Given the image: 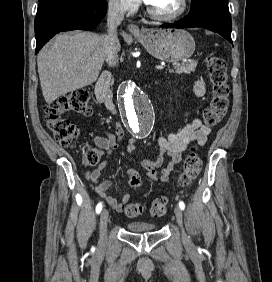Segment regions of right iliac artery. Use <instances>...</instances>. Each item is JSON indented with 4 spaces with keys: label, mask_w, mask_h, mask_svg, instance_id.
I'll use <instances>...</instances> for the list:
<instances>
[{
    "label": "right iliac artery",
    "mask_w": 272,
    "mask_h": 282,
    "mask_svg": "<svg viewBox=\"0 0 272 282\" xmlns=\"http://www.w3.org/2000/svg\"><path fill=\"white\" fill-rule=\"evenodd\" d=\"M103 204L102 202H100L97 206H96V213L99 214L102 210Z\"/></svg>",
    "instance_id": "right-iliac-artery-1"
}]
</instances>
